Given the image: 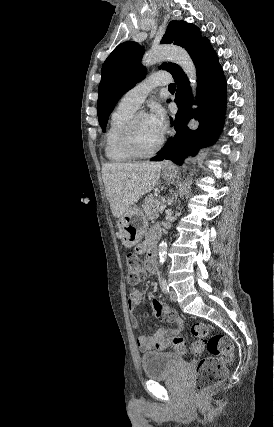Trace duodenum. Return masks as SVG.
Segmentation results:
<instances>
[{
    "label": "duodenum",
    "mask_w": 274,
    "mask_h": 427,
    "mask_svg": "<svg viewBox=\"0 0 274 427\" xmlns=\"http://www.w3.org/2000/svg\"><path fill=\"white\" fill-rule=\"evenodd\" d=\"M157 256H158V248H157L156 244L154 242H152V245L150 246L148 253H147L148 261L152 265H155L156 260H157Z\"/></svg>",
    "instance_id": "410a0bca"
}]
</instances>
